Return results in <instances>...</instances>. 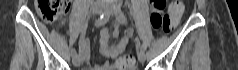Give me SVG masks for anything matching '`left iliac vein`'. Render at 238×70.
<instances>
[{
    "instance_id": "obj_1",
    "label": "left iliac vein",
    "mask_w": 238,
    "mask_h": 70,
    "mask_svg": "<svg viewBox=\"0 0 238 70\" xmlns=\"http://www.w3.org/2000/svg\"><path fill=\"white\" fill-rule=\"evenodd\" d=\"M115 12V6L112 4H108L105 6L104 8V13H108V14H113ZM138 60L143 63L145 61V54L144 51L140 50L138 52Z\"/></svg>"
}]
</instances>
